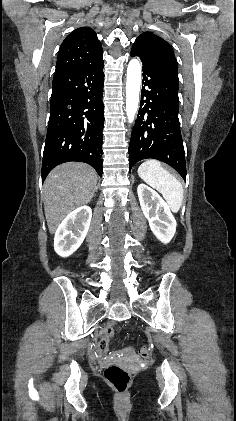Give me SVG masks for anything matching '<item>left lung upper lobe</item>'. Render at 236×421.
Instances as JSON below:
<instances>
[{
  "label": "left lung upper lobe",
  "mask_w": 236,
  "mask_h": 421,
  "mask_svg": "<svg viewBox=\"0 0 236 421\" xmlns=\"http://www.w3.org/2000/svg\"><path fill=\"white\" fill-rule=\"evenodd\" d=\"M133 47L142 53L166 58L177 67V61L172 47L164 39L151 32H144L138 36Z\"/></svg>",
  "instance_id": "obj_1"
}]
</instances>
